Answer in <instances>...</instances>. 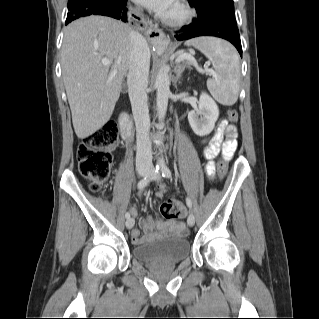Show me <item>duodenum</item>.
Listing matches in <instances>:
<instances>
[{
    "label": "duodenum",
    "mask_w": 319,
    "mask_h": 319,
    "mask_svg": "<svg viewBox=\"0 0 319 319\" xmlns=\"http://www.w3.org/2000/svg\"><path fill=\"white\" fill-rule=\"evenodd\" d=\"M118 123L123 139L129 141L132 135V124L127 112L123 111L120 113Z\"/></svg>",
    "instance_id": "1"
}]
</instances>
